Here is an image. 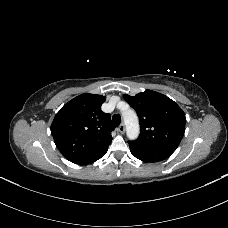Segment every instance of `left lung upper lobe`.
<instances>
[{
    "mask_svg": "<svg viewBox=\"0 0 228 228\" xmlns=\"http://www.w3.org/2000/svg\"><path fill=\"white\" fill-rule=\"evenodd\" d=\"M140 122V135L129 144L173 153L185 132L186 117L180 107L167 96L146 90L136 96L124 95Z\"/></svg>",
    "mask_w": 228,
    "mask_h": 228,
    "instance_id": "1",
    "label": "left lung upper lobe"
}]
</instances>
